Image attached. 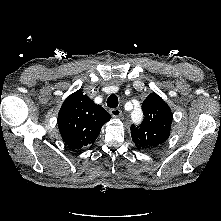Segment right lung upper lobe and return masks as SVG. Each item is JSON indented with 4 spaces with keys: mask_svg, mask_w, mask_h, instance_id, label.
<instances>
[{
    "mask_svg": "<svg viewBox=\"0 0 221 221\" xmlns=\"http://www.w3.org/2000/svg\"><path fill=\"white\" fill-rule=\"evenodd\" d=\"M110 114L78 90L64 101L58 114L63 141L73 149L93 143Z\"/></svg>",
    "mask_w": 221,
    "mask_h": 221,
    "instance_id": "obj_1",
    "label": "right lung upper lobe"
}]
</instances>
